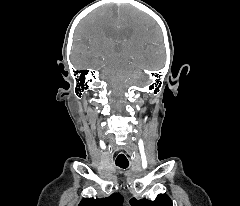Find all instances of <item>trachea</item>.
<instances>
[{"label":"trachea","mask_w":240,"mask_h":206,"mask_svg":"<svg viewBox=\"0 0 240 206\" xmlns=\"http://www.w3.org/2000/svg\"><path fill=\"white\" fill-rule=\"evenodd\" d=\"M116 165L119 166L120 168H127L129 166V162H116Z\"/></svg>","instance_id":"trachea-1"}]
</instances>
